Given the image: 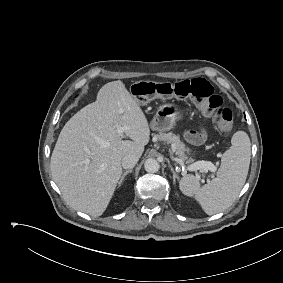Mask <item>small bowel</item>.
<instances>
[{"label": "small bowel", "mask_w": 283, "mask_h": 283, "mask_svg": "<svg viewBox=\"0 0 283 283\" xmlns=\"http://www.w3.org/2000/svg\"><path fill=\"white\" fill-rule=\"evenodd\" d=\"M186 137L193 144H201L205 140L206 135L204 132L190 131L186 134Z\"/></svg>", "instance_id": "obj_1"}]
</instances>
